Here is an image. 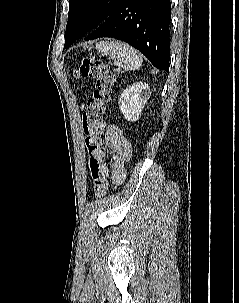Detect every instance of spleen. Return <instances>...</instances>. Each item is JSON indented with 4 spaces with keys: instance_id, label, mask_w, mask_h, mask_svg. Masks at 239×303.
I'll return each mask as SVG.
<instances>
[{
    "instance_id": "spleen-1",
    "label": "spleen",
    "mask_w": 239,
    "mask_h": 303,
    "mask_svg": "<svg viewBox=\"0 0 239 303\" xmlns=\"http://www.w3.org/2000/svg\"><path fill=\"white\" fill-rule=\"evenodd\" d=\"M95 48L99 54L117 60L127 71L138 69L143 62L141 53L122 41H102L97 43Z\"/></svg>"
}]
</instances>
